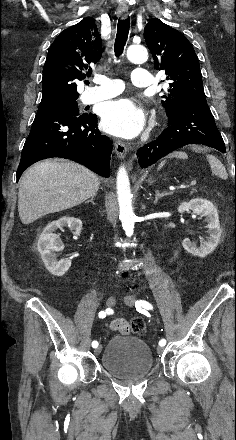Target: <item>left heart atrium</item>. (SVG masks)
Returning <instances> with one entry per match:
<instances>
[{
	"label": "left heart atrium",
	"mask_w": 236,
	"mask_h": 440,
	"mask_svg": "<svg viewBox=\"0 0 236 440\" xmlns=\"http://www.w3.org/2000/svg\"><path fill=\"white\" fill-rule=\"evenodd\" d=\"M143 112L132 100L118 99L108 103L102 113V126L112 135L132 138L143 128Z\"/></svg>",
	"instance_id": "39dd6f15"
}]
</instances>
